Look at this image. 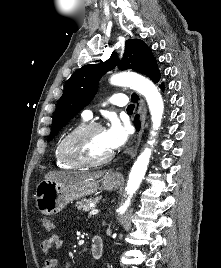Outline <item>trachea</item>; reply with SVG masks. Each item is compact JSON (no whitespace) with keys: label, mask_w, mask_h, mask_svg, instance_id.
<instances>
[{"label":"trachea","mask_w":221,"mask_h":268,"mask_svg":"<svg viewBox=\"0 0 221 268\" xmlns=\"http://www.w3.org/2000/svg\"><path fill=\"white\" fill-rule=\"evenodd\" d=\"M134 110V105L133 104H130L128 107H127V111H133Z\"/></svg>","instance_id":"trachea-1"}]
</instances>
